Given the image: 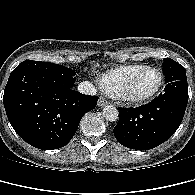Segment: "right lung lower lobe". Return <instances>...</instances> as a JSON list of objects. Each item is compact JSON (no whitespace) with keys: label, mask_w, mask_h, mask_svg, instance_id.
Listing matches in <instances>:
<instances>
[{"label":"right lung lower lobe","mask_w":195,"mask_h":195,"mask_svg":"<svg viewBox=\"0 0 195 195\" xmlns=\"http://www.w3.org/2000/svg\"><path fill=\"white\" fill-rule=\"evenodd\" d=\"M98 97L60 89L45 72L16 68L8 79L3 103L10 124L28 144L42 150L61 148L77 131Z\"/></svg>","instance_id":"right-lung-lower-lobe-1"}]
</instances>
